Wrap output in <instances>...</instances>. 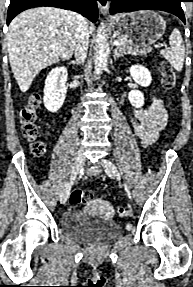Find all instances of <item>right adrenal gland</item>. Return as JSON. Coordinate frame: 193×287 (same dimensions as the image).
<instances>
[{
    "mask_svg": "<svg viewBox=\"0 0 193 287\" xmlns=\"http://www.w3.org/2000/svg\"><path fill=\"white\" fill-rule=\"evenodd\" d=\"M70 63L76 65L77 62L75 60H72Z\"/></svg>",
    "mask_w": 193,
    "mask_h": 287,
    "instance_id": "2a0ac1e0",
    "label": "right adrenal gland"
}]
</instances>
